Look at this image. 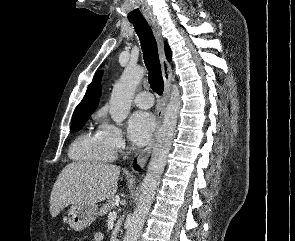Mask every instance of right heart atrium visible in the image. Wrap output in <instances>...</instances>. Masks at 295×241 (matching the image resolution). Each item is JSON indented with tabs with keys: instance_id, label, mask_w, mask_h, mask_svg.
<instances>
[{
	"instance_id": "right-heart-atrium-1",
	"label": "right heart atrium",
	"mask_w": 295,
	"mask_h": 241,
	"mask_svg": "<svg viewBox=\"0 0 295 241\" xmlns=\"http://www.w3.org/2000/svg\"><path fill=\"white\" fill-rule=\"evenodd\" d=\"M99 117L102 119L100 128L105 134L107 142L115 155L116 152L122 150L125 146L123 132L118 126L105 120L102 111L99 113Z\"/></svg>"
}]
</instances>
